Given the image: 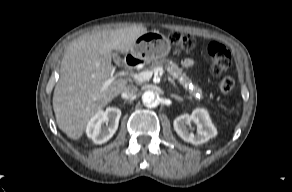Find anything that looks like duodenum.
Here are the masks:
<instances>
[{"label": "duodenum", "instance_id": "410a0bca", "mask_svg": "<svg viewBox=\"0 0 292 192\" xmlns=\"http://www.w3.org/2000/svg\"><path fill=\"white\" fill-rule=\"evenodd\" d=\"M140 63V59L137 57V56H134V55H128L126 57V64L128 66H136Z\"/></svg>", "mask_w": 292, "mask_h": 192}]
</instances>
